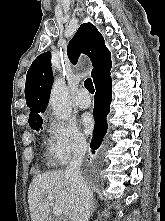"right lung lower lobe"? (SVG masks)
Segmentation results:
<instances>
[{
	"instance_id": "right-lung-lower-lobe-1",
	"label": "right lung lower lobe",
	"mask_w": 165,
	"mask_h": 221,
	"mask_svg": "<svg viewBox=\"0 0 165 221\" xmlns=\"http://www.w3.org/2000/svg\"><path fill=\"white\" fill-rule=\"evenodd\" d=\"M95 101H94V117L95 128L94 137L91 141V152L95 154L104 139L107 132L106 116L110 110L112 83L111 77L108 75L103 80L95 85Z\"/></svg>"
}]
</instances>
